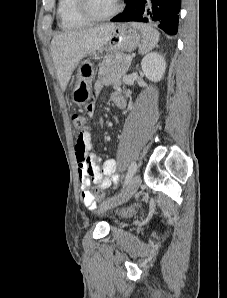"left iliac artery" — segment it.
<instances>
[{
  "label": "left iliac artery",
  "mask_w": 227,
  "mask_h": 298,
  "mask_svg": "<svg viewBox=\"0 0 227 298\" xmlns=\"http://www.w3.org/2000/svg\"><path fill=\"white\" fill-rule=\"evenodd\" d=\"M136 170H137V164L133 162L128 168V172L124 181V186L129 183V181L132 179L133 175L135 174Z\"/></svg>",
  "instance_id": "obj_1"
}]
</instances>
